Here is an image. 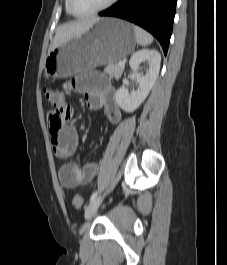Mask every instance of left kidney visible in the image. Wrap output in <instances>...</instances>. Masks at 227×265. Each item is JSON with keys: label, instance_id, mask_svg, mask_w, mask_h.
<instances>
[{"label": "left kidney", "instance_id": "left-kidney-1", "mask_svg": "<svg viewBox=\"0 0 227 265\" xmlns=\"http://www.w3.org/2000/svg\"><path fill=\"white\" fill-rule=\"evenodd\" d=\"M142 62H148L149 68L145 75L137 76L139 87L131 93L125 87H120L116 92V102L125 112L135 111L148 96L159 74L161 55L149 49L136 52L129 61L132 71H137Z\"/></svg>", "mask_w": 227, "mask_h": 265}]
</instances>
